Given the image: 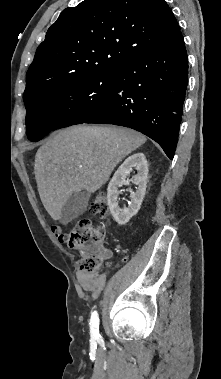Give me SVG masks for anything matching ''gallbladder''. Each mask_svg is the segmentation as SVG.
<instances>
[{"instance_id": "bac80fb5", "label": "gallbladder", "mask_w": 221, "mask_h": 379, "mask_svg": "<svg viewBox=\"0 0 221 379\" xmlns=\"http://www.w3.org/2000/svg\"><path fill=\"white\" fill-rule=\"evenodd\" d=\"M90 194L87 191L73 193L61 209L60 222L67 224L82 215L87 208Z\"/></svg>"}]
</instances>
